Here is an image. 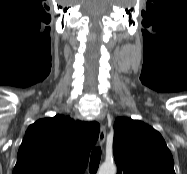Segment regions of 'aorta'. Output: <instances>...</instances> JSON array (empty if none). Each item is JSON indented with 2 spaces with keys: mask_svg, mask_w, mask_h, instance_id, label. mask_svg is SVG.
<instances>
[{
  "mask_svg": "<svg viewBox=\"0 0 187 174\" xmlns=\"http://www.w3.org/2000/svg\"><path fill=\"white\" fill-rule=\"evenodd\" d=\"M98 174H116V166L113 163H104L100 166Z\"/></svg>",
  "mask_w": 187,
  "mask_h": 174,
  "instance_id": "aorta-1",
  "label": "aorta"
}]
</instances>
